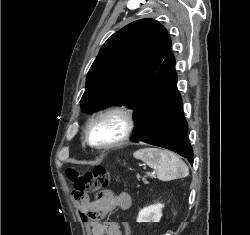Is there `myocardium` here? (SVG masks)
Instances as JSON below:
<instances>
[{"label":"myocardium","instance_id":"f54148a6","mask_svg":"<svg viewBox=\"0 0 250 235\" xmlns=\"http://www.w3.org/2000/svg\"><path fill=\"white\" fill-rule=\"evenodd\" d=\"M115 116L122 121V131L120 135L113 141L106 143H95L92 141L90 132L94 124L106 117ZM136 126L135 115L132 109L124 105H110L99 110L91 116L84 129V140L88 146L93 149L106 151L122 146L131 138Z\"/></svg>","mask_w":250,"mask_h":235}]
</instances>
